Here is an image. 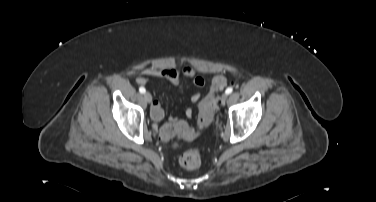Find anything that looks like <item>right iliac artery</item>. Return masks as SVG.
I'll list each match as a JSON object with an SVG mask.
<instances>
[{"instance_id": "obj_1", "label": "right iliac artery", "mask_w": 376, "mask_h": 202, "mask_svg": "<svg viewBox=\"0 0 376 202\" xmlns=\"http://www.w3.org/2000/svg\"><path fill=\"white\" fill-rule=\"evenodd\" d=\"M139 91H140V93H142V94L146 92V90H145L144 87H140V88H139Z\"/></svg>"}]
</instances>
